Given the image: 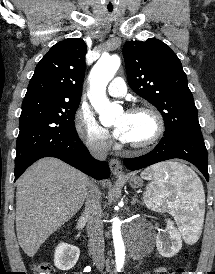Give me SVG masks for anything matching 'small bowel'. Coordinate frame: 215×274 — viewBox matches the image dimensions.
Wrapping results in <instances>:
<instances>
[{"mask_svg":"<svg viewBox=\"0 0 215 274\" xmlns=\"http://www.w3.org/2000/svg\"><path fill=\"white\" fill-rule=\"evenodd\" d=\"M155 272L156 273H166L167 272V269L164 267V266H160V267H157L155 269Z\"/></svg>","mask_w":215,"mask_h":274,"instance_id":"1","label":"small bowel"}]
</instances>
